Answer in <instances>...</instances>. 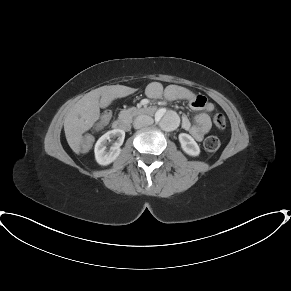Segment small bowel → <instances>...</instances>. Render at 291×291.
<instances>
[{
    "instance_id": "obj_1",
    "label": "small bowel",
    "mask_w": 291,
    "mask_h": 291,
    "mask_svg": "<svg viewBox=\"0 0 291 291\" xmlns=\"http://www.w3.org/2000/svg\"><path fill=\"white\" fill-rule=\"evenodd\" d=\"M146 95L152 100H157L164 96L169 101L185 100L189 102L193 108L200 110V112L195 116L193 124L187 117H183L181 120L182 128L189 131L197 140H202L209 132L211 128V115L215 106L206 97L177 84L163 88L159 82L150 83L146 89Z\"/></svg>"
}]
</instances>
